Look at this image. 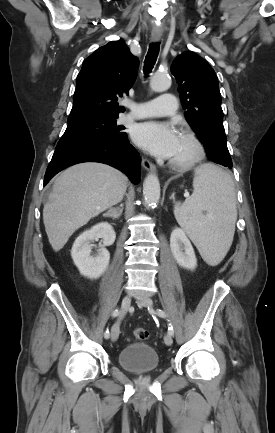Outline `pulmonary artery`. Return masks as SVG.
<instances>
[{
	"mask_svg": "<svg viewBox=\"0 0 275 433\" xmlns=\"http://www.w3.org/2000/svg\"><path fill=\"white\" fill-rule=\"evenodd\" d=\"M125 106L130 109V112L125 115V118L128 119L169 116L176 113L177 100L172 94L164 93L155 99L139 104L126 102Z\"/></svg>",
	"mask_w": 275,
	"mask_h": 433,
	"instance_id": "e3ab8cb5",
	"label": "pulmonary artery"
}]
</instances>
